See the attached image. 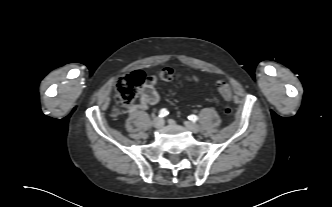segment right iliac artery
<instances>
[{
	"label": "right iliac artery",
	"instance_id": "right-iliac-artery-1",
	"mask_svg": "<svg viewBox=\"0 0 332 207\" xmlns=\"http://www.w3.org/2000/svg\"><path fill=\"white\" fill-rule=\"evenodd\" d=\"M168 114L166 109H161L159 112V117H165Z\"/></svg>",
	"mask_w": 332,
	"mask_h": 207
}]
</instances>
